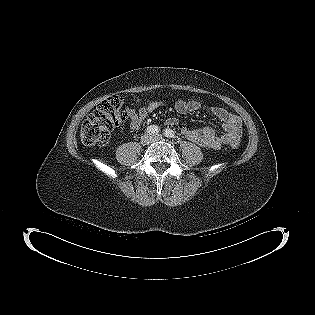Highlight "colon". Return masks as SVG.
<instances>
[{
    "label": "colon",
    "instance_id": "obj_1",
    "mask_svg": "<svg viewBox=\"0 0 315 315\" xmlns=\"http://www.w3.org/2000/svg\"><path fill=\"white\" fill-rule=\"evenodd\" d=\"M135 101L141 102V99L135 98ZM122 105L119 96H111L102 101L82 124L80 131L82 143L92 146L107 141L111 132L128 118V113ZM231 146L236 148L238 143L233 142Z\"/></svg>",
    "mask_w": 315,
    "mask_h": 315
}]
</instances>
